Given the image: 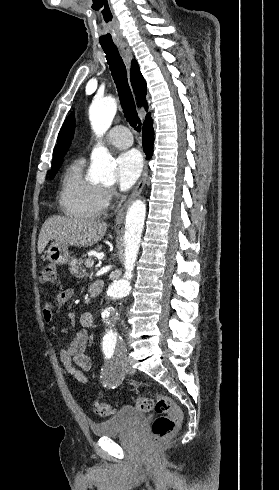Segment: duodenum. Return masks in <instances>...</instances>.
I'll return each mask as SVG.
<instances>
[{"instance_id":"obj_1","label":"duodenum","mask_w":279,"mask_h":490,"mask_svg":"<svg viewBox=\"0 0 279 490\" xmlns=\"http://www.w3.org/2000/svg\"><path fill=\"white\" fill-rule=\"evenodd\" d=\"M103 287V282L102 281H95L92 283V285L89 288V293L91 296H97Z\"/></svg>"}]
</instances>
